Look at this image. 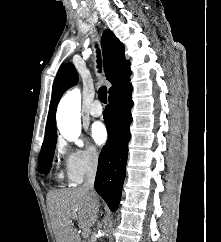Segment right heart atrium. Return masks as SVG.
I'll list each match as a JSON object with an SVG mask.
<instances>
[{"label": "right heart atrium", "instance_id": "obj_1", "mask_svg": "<svg viewBox=\"0 0 221 242\" xmlns=\"http://www.w3.org/2000/svg\"><path fill=\"white\" fill-rule=\"evenodd\" d=\"M56 152L63 161L65 173L70 183H79L87 174L98 168L100 155L92 145L76 148L59 139L56 142Z\"/></svg>", "mask_w": 221, "mask_h": 242}]
</instances>
